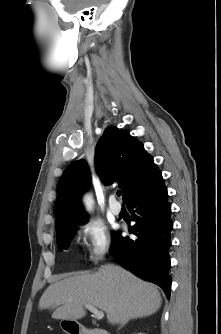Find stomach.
Instances as JSON below:
<instances>
[{
	"label": "stomach",
	"instance_id": "1",
	"mask_svg": "<svg viewBox=\"0 0 221 334\" xmlns=\"http://www.w3.org/2000/svg\"><path fill=\"white\" fill-rule=\"evenodd\" d=\"M69 322L68 320H62L61 323H60V326L63 330H66L68 328V325H69ZM69 334V333H68Z\"/></svg>",
	"mask_w": 221,
	"mask_h": 334
}]
</instances>
